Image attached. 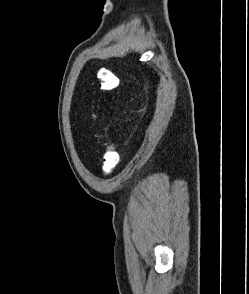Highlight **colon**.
I'll return each mask as SVG.
<instances>
[{
	"instance_id": "1",
	"label": "colon",
	"mask_w": 249,
	"mask_h": 294,
	"mask_svg": "<svg viewBox=\"0 0 249 294\" xmlns=\"http://www.w3.org/2000/svg\"><path fill=\"white\" fill-rule=\"evenodd\" d=\"M119 81V78L115 75L113 76L112 80L106 78L104 75L100 76L98 79L99 90L103 94L110 93L118 87ZM118 161L119 153L116 151H109L104 158L103 173L109 174L116 167Z\"/></svg>"
}]
</instances>
